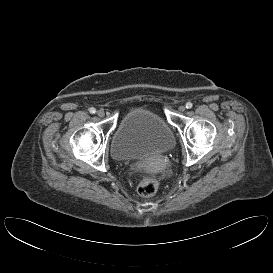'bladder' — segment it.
I'll return each instance as SVG.
<instances>
[{
	"instance_id": "obj_1",
	"label": "bladder",
	"mask_w": 273,
	"mask_h": 273,
	"mask_svg": "<svg viewBox=\"0 0 273 273\" xmlns=\"http://www.w3.org/2000/svg\"><path fill=\"white\" fill-rule=\"evenodd\" d=\"M175 144L172 130L158 114L135 108L124 114L115 129L110 153L116 161H141L166 154Z\"/></svg>"
}]
</instances>
